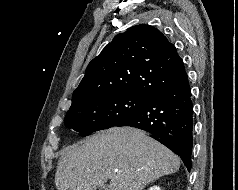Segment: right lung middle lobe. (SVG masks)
I'll use <instances>...</instances> for the list:
<instances>
[{"mask_svg":"<svg viewBox=\"0 0 238 190\" xmlns=\"http://www.w3.org/2000/svg\"><path fill=\"white\" fill-rule=\"evenodd\" d=\"M150 101V98L130 93L91 97L70 107L64 124L86 136L115 126L143 109Z\"/></svg>","mask_w":238,"mask_h":190,"instance_id":"1","label":"right lung middle lobe"}]
</instances>
